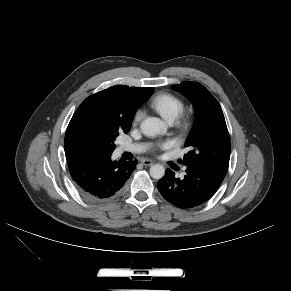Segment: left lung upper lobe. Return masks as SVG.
<instances>
[{"mask_svg":"<svg viewBox=\"0 0 291 291\" xmlns=\"http://www.w3.org/2000/svg\"><path fill=\"white\" fill-rule=\"evenodd\" d=\"M173 88L191 100L196 113L194 129L185 143L190 151L180 163L199 165L226 174L231 144L219 103L200 83L182 82Z\"/></svg>","mask_w":291,"mask_h":291,"instance_id":"left-lung-upper-lobe-1","label":"left lung upper lobe"}]
</instances>
